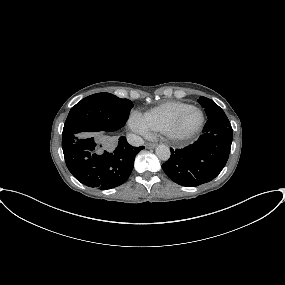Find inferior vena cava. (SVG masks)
I'll list each match as a JSON object with an SVG mask.
<instances>
[{
    "label": "inferior vena cava",
    "instance_id": "602c4592",
    "mask_svg": "<svg viewBox=\"0 0 285 285\" xmlns=\"http://www.w3.org/2000/svg\"><path fill=\"white\" fill-rule=\"evenodd\" d=\"M126 138L128 143L134 147H139L144 144L143 138L134 133L127 134Z\"/></svg>",
    "mask_w": 285,
    "mask_h": 285
}]
</instances>
